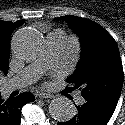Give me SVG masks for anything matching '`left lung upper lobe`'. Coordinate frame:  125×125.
I'll return each instance as SVG.
<instances>
[{"mask_svg": "<svg viewBox=\"0 0 125 125\" xmlns=\"http://www.w3.org/2000/svg\"><path fill=\"white\" fill-rule=\"evenodd\" d=\"M80 37L81 59L67 82L79 88L85 101L118 102L124 80L118 45L99 24L76 16H62Z\"/></svg>", "mask_w": 125, "mask_h": 125, "instance_id": "obj_1", "label": "left lung upper lobe"}]
</instances>
